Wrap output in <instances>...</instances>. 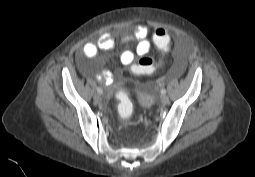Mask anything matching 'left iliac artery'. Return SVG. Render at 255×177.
I'll use <instances>...</instances> for the list:
<instances>
[{"label": "left iliac artery", "mask_w": 255, "mask_h": 177, "mask_svg": "<svg viewBox=\"0 0 255 177\" xmlns=\"http://www.w3.org/2000/svg\"><path fill=\"white\" fill-rule=\"evenodd\" d=\"M161 94H163V95L166 94V90H165V89H162V90H161Z\"/></svg>", "instance_id": "left-iliac-artery-1"}]
</instances>
